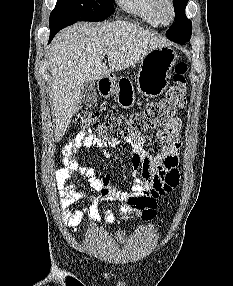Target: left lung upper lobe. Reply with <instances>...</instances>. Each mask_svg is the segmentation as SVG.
<instances>
[{"mask_svg": "<svg viewBox=\"0 0 233 286\" xmlns=\"http://www.w3.org/2000/svg\"><path fill=\"white\" fill-rule=\"evenodd\" d=\"M175 22L166 32V36L174 42H187L192 34V23L185 15L188 0H173Z\"/></svg>", "mask_w": 233, "mask_h": 286, "instance_id": "1", "label": "left lung upper lobe"}]
</instances>
